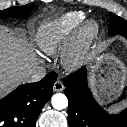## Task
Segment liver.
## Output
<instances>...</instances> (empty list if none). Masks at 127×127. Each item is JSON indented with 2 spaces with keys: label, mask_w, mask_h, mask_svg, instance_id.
Instances as JSON below:
<instances>
[{
  "label": "liver",
  "mask_w": 127,
  "mask_h": 127,
  "mask_svg": "<svg viewBox=\"0 0 127 127\" xmlns=\"http://www.w3.org/2000/svg\"><path fill=\"white\" fill-rule=\"evenodd\" d=\"M36 60L23 37L0 25V98L28 81L27 74Z\"/></svg>",
  "instance_id": "liver-1"
}]
</instances>
